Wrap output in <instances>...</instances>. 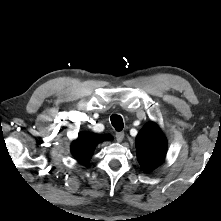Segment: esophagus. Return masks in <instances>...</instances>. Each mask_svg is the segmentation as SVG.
I'll use <instances>...</instances> for the list:
<instances>
[{
  "instance_id": "34e87169",
  "label": "esophagus",
  "mask_w": 221,
  "mask_h": 221,
  "mask_svg": "<svg viewBox=\"0 0 221 221\" xmlns=\"http://www.w3.org/2000/svg\"><path fill=\"white\" fill-rule=\"evenodd\" d=\"M124 136H125L124 132H117L116 135H115L116 140H117L118 142H122L123 139H124Z\"/></svg>"
}]
</instances>
